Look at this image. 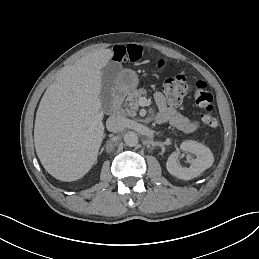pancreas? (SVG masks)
I'll return each mask as SVG.
<instances>
[{
  "instance_id": "1",
  "label": "pancreas",
  "mask_w": 259,
  "mask_h": 259,
  "mask_svg": "<svg viewBox=\"0 0 259 259\" xmlns=\"http://www.w3.org/2000/svg\"><path fill=\"white\" fill-rule=\"evenodd\" d=\"M146 93L147 91L144 88L134 90L133 92L129 93L123 104L125 112L128 116H136L137 110L139 109V98L143 95H146Z\"/></svg>"
}]
</instances>
